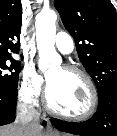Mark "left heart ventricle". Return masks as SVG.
<instances>
[{"label": "left heart ventricle", "mask_w": 117, "mask_h": 136, "mask_svg": "<svg viewBox=\"0 0 117 136\" xmlns=\"http://www.w3.org/2000/svg\"><path fill=\"white\" fill-rule=\"evenodd\" d=\"M51 106L64 113L81 114L90 105V92L85 81L62 67L48 74Z\"/></svg>", "instance_id": "left-heart-ventricle-1"}]
</instances>
